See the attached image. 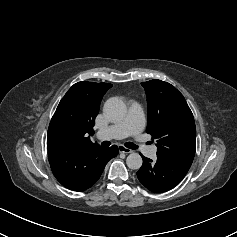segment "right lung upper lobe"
Returning a JSON list of instances; mask_svg holds the SVG:
<instances>
[{
	"mask_svg": "<svg viewBox=\"0 0 237 237\" xmlns=\"http://www.w3.org/2000/svg\"><path fill=\"white\" fill-rule=\"evenodd\" d=\"M112 84L81 81L74 84L61 99L48 128L60 132L61 144L82 151L99 146L90 141L94 120L103 95Z\"/></svg>",
	"mask_w": 237,
	"mask_h": 237,
	"instance_id": "1",
	"label": "right lung upper lobe"
}]
</instances>
